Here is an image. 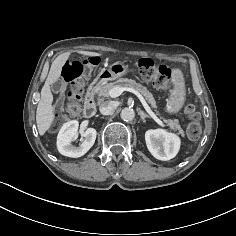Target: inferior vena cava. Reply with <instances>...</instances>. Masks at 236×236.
Listing matches in <instances>:
<instances>
[{"instance_id": "602c4592", "label": "inferior vena cava", "mask_w": 236, "mask_h": 236, "mask_svg": "<svg viewBox=\"0 0 236 236\" xmlns=\"http://www.w3.org/2000/svg\"><path fill=\"white\" fill-rule=\"evenodd\" d=\"M113 110L114 105L111 102H103L99 107V111L102 115H110Z\"/></svg>"}]
</instances>
